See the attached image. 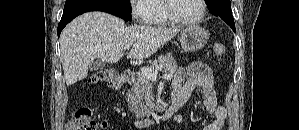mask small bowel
<instances>
[{
    "label": "small bowel",
    "mask_w": 299,
    "mask_h": 130,
    "mask_svg": "<svg viewBox=\"0 0 299 130\" xmlns=\"http://www.w3.org/2000/svg\"><path fill=\"white\" fill-rule=\"evenodd\" d=\"M173 95H182L186 100L195 88H201L204 94L205 110L212 115V120L202 130H224L227 121V109L219 103L217 85L214 81L212 69L203 62H192L186 67L177 69L173 82ZM174 120L181 124L183 118L175 115ZM109 121L100 122L102 129H107Z\"/></svg>",
    "instance_id": "1"
}]
</instances>
